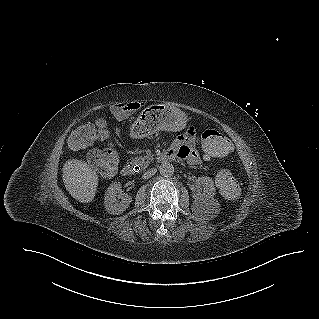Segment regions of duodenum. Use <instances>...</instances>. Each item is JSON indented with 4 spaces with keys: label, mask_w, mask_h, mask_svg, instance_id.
<instances>
[{
    "label": "duodenum",
    "mask_w": 319,
    "mask_h": 319,
    "mask_svg": "<svg viewBox=\"0 0 319 319\" xmlns=\"http://www.w3.org/2000/svg\"><path fill=\"white\" fill-rule=\"evenodd\" d=\"M175 158L174 154L168 150L166 152H163L159 155H156L154 160L156 163H164L171 161ZM135 169L134 166L131 164H125L121 169V174L125 177H129L134 173Z\"/></svg>",
    "instance_id": "duodenum-1"
}]
</instances>
